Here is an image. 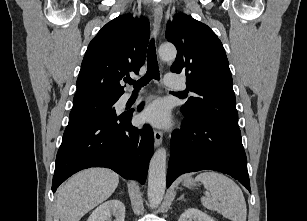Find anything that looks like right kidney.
<instances>
[{"instance_id": "obj_1", "label": "right kidney", "mask_w": 307, "mask_h": 221, "mask_svg": "<svg viewBox=\"0 0 307 221\" xmlns=\"http://www.w3.org/2000/svg\"><path fill=\"white\" fill-rule=\"evenodd\" d=\"M115 217L114 221H124L125 219V206L123 202L117 199L109 200L98 206L87 221H107Z\"/></svg>"}]
</instances>
